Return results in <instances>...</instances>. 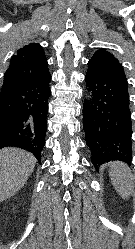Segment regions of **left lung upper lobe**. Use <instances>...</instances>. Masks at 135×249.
Wrapping results in <instances>:
<instances>
[{"label":"left lung upper lobe","mask_w":135,"mask_h":249,"mask_svg":"<svg viewBox=\"0 0 135 249\" xmlns=\"http://www.w3.org/2000/svg\"><path fill=\"white\" fill-rule=\"evenodd\" d=\"M88 63L94 64L111 74L126 78L124 69L118 59L104 49H99L95 52Z\"/></svg>","instance_id":"left-lung-upper-lobe-1"}]
</instances>
